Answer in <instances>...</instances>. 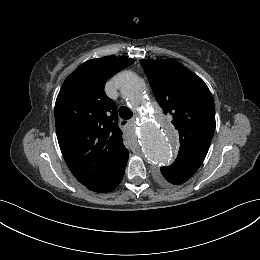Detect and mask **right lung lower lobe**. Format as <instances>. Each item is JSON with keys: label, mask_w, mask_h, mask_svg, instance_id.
<instances>
[{"label": "right lung lower lobe", "mask_w": 260, "mask_h": 260, "mask_svg": "<svg viewBox=\"0 0 260 260\" xmlns=\"http://www.w3.org/2000/svg\"><path fill=\"white\" fill-rule=\"evenodd\" d=\"M125 166L119 170L118 173H116L113 177L94 183L92 185L86 186L89 190L98 192V193H106L114 190L121 182L124 171H125Z\"/></svg>", "instance_id": "obj_1"}]
</instances>
